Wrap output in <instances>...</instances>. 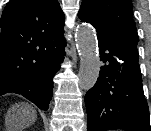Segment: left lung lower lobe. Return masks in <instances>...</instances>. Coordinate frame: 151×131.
<instances>
[{
    "mask_svg": "<svg viewBox=\"0 0 151 131\" xmlns=\"http://www.w3.org/2000/svg\"><path fill=\"white\" fill-rule=\"evenodd\" d=\"M97 36L104 65L85 96L87 131H151L138 62L122 55L102 35Z\"/></svg>",
    "mask_w": 151,
    "mask_h": 131,
    "instance_id": "1",
    "label": "left lung lower lobe"
}]
</instances>
